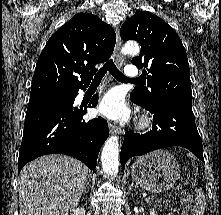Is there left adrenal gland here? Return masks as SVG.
Wrapping results in <instances>:
<instances>
[{
    "mask_svg": "<svg viewBox=\"0 0 221 215\" xmlns=\"http://www.w3.org/2000/svg\"><path fill=\"white\" fill-rule=\"evenodd\" d=\"M130 186H131V187H133V186H134L135 188L137 187V186L134 184V181H133V180H132V182H131V185H130Z\"/></svg>",
    "mask_w": 221,
    "mask_h": 215,
    "instance_id": "1",
    "label": "left adrenal gland"
}]
</instances>
